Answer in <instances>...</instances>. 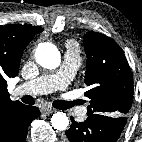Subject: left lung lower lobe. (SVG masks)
Segmentation results:
<instances>
[{"label":"left lung lower lobe","mask_w":142,"mask_h":142,"mask_svg":"<svg viewBox=\"0 0 142 142\" xmlns=\"http://www.w3.org/2000/svg\"><path fill=\"white\" fill-rule=\"evenodd\" d=\"M72 125L65 132V142H116L126 124V116L88 115L84 122Z\"/></svg>","instance_id":"left-lung-lower-lobe-1"}]
</instances>
